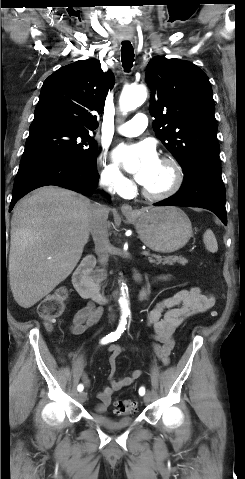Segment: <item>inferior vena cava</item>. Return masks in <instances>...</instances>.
<instances>
[{
  "label": "inferior vena cava",
  "instance_id": "1",
  "mask_svg": "<svg viewBox=\"0 0 245 479\" xmlns=\"http://www.w3.org/2000/svg\"><path fill=\"white\" fill-rule=\"evenodd\" d=\"M106 191H111V183L101 184ZM109 208L100 203H92L88 212V223L95 243V251L101 266L106 267L109 260L110 242L107 219Z\"/></svg>",
  "mask_w": 245,
  "mask_h": 479
}]
</instances>
